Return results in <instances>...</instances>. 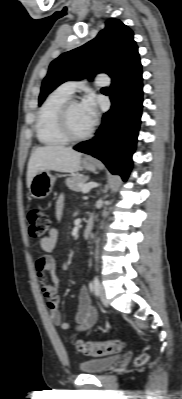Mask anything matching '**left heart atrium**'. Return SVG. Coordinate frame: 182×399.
Here are the masks:
<instances>
[{
	"label": "left heart atrium",
	"instance_id": "obj_1",
	"mask_svg": "<svg viewBox=\"0 0 182 399\" xmlns=\"http://www.w3.org/2000/svg\"><path fill=\"white\" fill-rule=\"evenodd\" d=\"M81 108L89 121L93 124L97 118V107L95 100L92 96H86L80 103Z\"/></svg>",
	"mask_w": 182,
	"mask_h": 399
}]
</instances>
